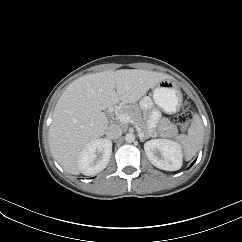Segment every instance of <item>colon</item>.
<instances>
[{"instance_id":"1","label":"colon","mask_w":242,"mask_h":242,"mask_svg":"<svg viewBox=\"0 0 242 242\" xmlns=\"http://www.w3.org/2000/svg\"><path fill=\"white\" fill-rule=\"evenodd\" d=\"M191 121V114L187 104L182 106L180 113L175 118V123L180 127L181 130H186Z\"/></svg>"}]
</instances>
